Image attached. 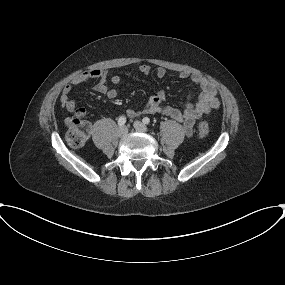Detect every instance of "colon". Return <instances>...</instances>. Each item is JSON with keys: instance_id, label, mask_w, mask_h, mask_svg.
Listing matches in <instances>:
<instances>
[{"instance_id": "5ec220e1", "label": "colon", "mask_w": 285, "mask_h": 285, "mask_svg": "<svg viewBox=\"0 0 285 285\" xmlns=\"http://www.w3.org/2000/svg\"><path fill=\"white\" fill-rule=\"evenodd\" d=\"M66 142L70 147L79 148L82 147L89 138L91 132L90 123L83 118L82 115H76V117L70 118L66 121ZM198 135L201 138L208 136L209 124L203 120L198 124Z\"/></svg>"}]
</instances>
